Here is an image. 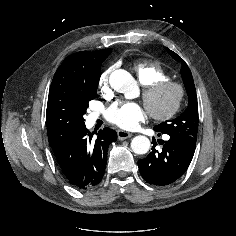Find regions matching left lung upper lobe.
<instances>
[{
	"label": "left lung upper lobe",
	"mask_w": 236,
	"mask_h": 236,
	"mask_svg": "<svg viewBox=\"0 0 236 236\" xmlns=\"http://www.w3.org/2000/svg\"><path fill=\"white\" fill-rule=\"evenodd\" d=\"M167 51L175 60H181L180 56L175 52L168 48ZM182 63L181 74L188 95V106L180 116L173 120L162 122L155 126L154 130L196 145L199 122L196 89L189 67L184 61Z\"/></svg>",
	"instance_id": "left-lung-upper-lobe-1"
}]
</instances>
